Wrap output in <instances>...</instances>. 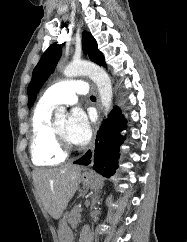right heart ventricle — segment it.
<instances>
[{"instance_id":"1","label":"right heart ventricle","mask_w":187,"mask_h":242,"mask_svg":"<svg viewBox=\"0 0 187 242\" xmlns=\"http://www.w3.org/2000/svg\"><path fill=\"white\" fill-rule=\"evenodd\" d=\"M52 108L40 101L31 118L30 153L33 163L38 166L57 165L66 158L54 143L51 130Z\"/></svg>"}]
</instances>
